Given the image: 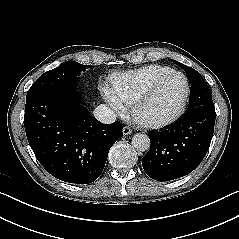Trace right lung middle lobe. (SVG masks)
<instances>
[{
	"label": "right lung middle lobe",
	"mask_w": 239,
	"mask_h": 239,
	"mask_svg": "<svg viewBox=\"0 0 239 239\" xmlns=\"http://www.w3.org/2000/svg\"><path fill=\"white\" fill-rule=\"evenodd\" d=\"M75 61H66L58 67L42 74L29 89L27 96L59 88H70L76 84L81 71L89 68Z\"/></svg>",
	"instance_id": "dd1d6c3e"
}]
</instances>
